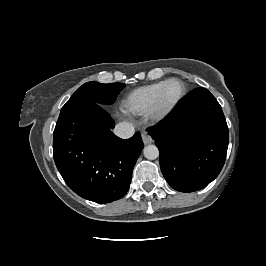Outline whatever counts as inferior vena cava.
Instances as JSON below:
<instances>
[{"instance_id":"602c4592","label":"inferior vena cava","mask_w":266,"mask_h":266,"mask_svg":"<svg viewBox=\"0 0 266 266\" xmlns=\"http://www.w3.org/2000/svg\"><path fill=\"white\" fill-rule=\"evenodd\" d=\"M114 133L122 139H128L135 133L134 126L128 122H121L114 128Z\"/></svg>"}]
</instances>
